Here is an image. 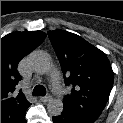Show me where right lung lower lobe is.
Listing matches in <instances>:
<instances>
[{"instance_id":"obj_1","label":"right lung lower lobe","mask_w":123,"mask_h":123,"mask_svg":"<svg viewBox=\"0 0 123 123\" xmlns=\"http://www.w3.org/2000/svg\"><path fill=\"white\" fill-rule=\"evenodd\" d=\"M19 123H26L25 117Z\"/></svg>"}]
</instances>
